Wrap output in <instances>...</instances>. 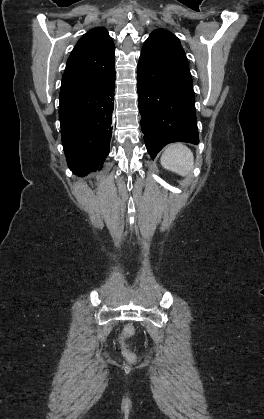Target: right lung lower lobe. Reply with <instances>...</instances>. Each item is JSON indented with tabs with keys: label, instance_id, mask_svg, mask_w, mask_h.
Masks as SVG:
<instances>
[{
	"label": "right lung lower lobe",
	"instance_id": "right-lung-lower-lobe-1",
	"mask_svg": "<svg viewBox=\"0 0 264 419\" xmlns=\"http://www.w3.org/2000/svg\"><path fill=\"white\" fill-rule=\"evenodd\" d=\"M114 91L115 72L102 82L60 91L62 143L78 176L100 170L109 154Z\"/></svg>",
	"mask_w": 264,
	"mask_h": 419
}]
</instances>
